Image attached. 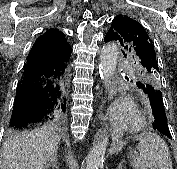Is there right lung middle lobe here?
<instances>
[{
	"label": "right lung middle lobe",
	"instance_id": "1",
	"mask_svg": "<svg viewBox=\"0 0 177 169\" xmlns=\"http://www.w3.org/2000/svg\"><path fill=\"white\" fill-rule=\"evenodd\" d=\"M56 126H58V127H63L64 125H63V126H61V125H56Z\"/></svg>",
	"mask_w": 177,
	"mask_h": 169
}]
</instances>
